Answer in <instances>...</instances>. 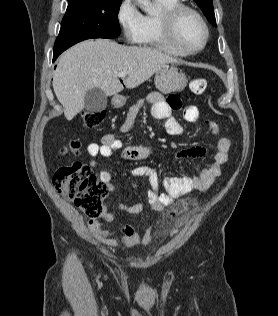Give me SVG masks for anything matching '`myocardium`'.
Here are the masks:
<instances>
[{"label": "myocardium", "mask_w": 278, "mask_h": 316, "mask_svg": "<svg viewBox=\"0 0 278 316\" xmlns=\"http://www.w3.org/2000/svg\"><path fill=\"white\" fill-rule=\"evenodd\" d=\"M187 13L193 15L201 23L204 29L203 42L197 48H190L187 45H185L180 36V20L183 17V15ZM163 26L169 40L173 43V45L187 55H193L201 52L206 47L210 38V29L205 18L198 10L186 4L181 3L165 12L163 15Z\"/></svg>", "instance_id": "myocardium-1"}]
</instances>
